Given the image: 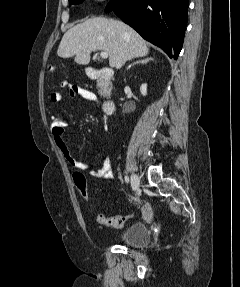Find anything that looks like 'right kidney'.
<instances>
[{"instance_id": "1", "label": "right kidney", "mask_w": 240, "mask_h": 287, "mask_svg": "<svg viewBox=\"0 0 240 287\" xmlns=\"http://www.w3.org/2000/svg\"><path fill=\"white\" fill-rule=\"evenodd\" d=\"M140 92L143 96H146L147 94V84H142L140 87Z\"/></svg>"}]
</instances>
